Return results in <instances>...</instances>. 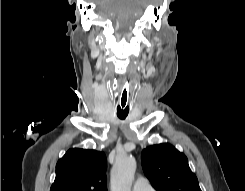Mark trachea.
I'll return each mask as SVG.
<instances>
[{
  "instance_id": "obj_1",
  "label": "trachea",
  "mask_w": 245,
  "mask_h": 191,
  "mask_svg": "<svg viewBox=\"0 0 245 191\" xmlns=\"http://www.w3.org/2000/svg\"><path fill=\"white\" fill-rule=\"evenodd\" d=\"M129 92H130V85L129 81H126L121 89L119 102L117 105V116L124 120L130 111V102H129Z\"/></svg>"
}]
</instances>
